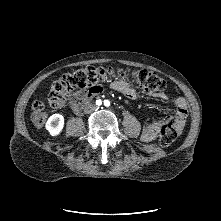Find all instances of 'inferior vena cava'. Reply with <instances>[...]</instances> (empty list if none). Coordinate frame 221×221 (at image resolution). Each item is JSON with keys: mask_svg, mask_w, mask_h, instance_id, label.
I'll return each instance as SVG.
<instances>
[{"mask_svg": "<svg viewBox=\"0 0 221 221\" xmlns=\"http://www.w3.org/2000/svg\"><path fill=\"white\" fill-rule=\"evenodd\" d=\"M95 109H96V105L93 104V103H89V104H87V105L85 106L84 112H85V113H90V112L94 111Z\"/></svg>", "mask_w": 221, "mask_h": 221, "instance_id": "602c4592", "label": "inferior vena cava"}]
</instances>
